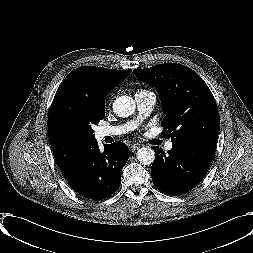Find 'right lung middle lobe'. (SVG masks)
<instances>
[{
    "instance_id": "obj_1",
    "label": "right lung middle lobe",
    "mask_w": 253,
    "mask_h": 253,
    "mask_svg": "<svg viewBox=\"0 0 253 253\" xmlns=\"http://www.w3.org/2000/svg\"><path fill=\"white\" fill-rule=\"evenodd\" d=\"M104 117L105 107L88 109L87 130L91 135H93V129L91 128V126L94 124L97 125L100 120L104 119Z\"/></svg>"
}]
</instances>
